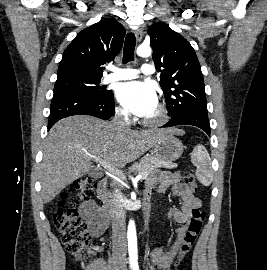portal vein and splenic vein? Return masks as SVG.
Wrapping results in <instances>:
<instances>
[{
    "label": "portal vein and splenic vein",
    "mask_w": 267,
    "mask_h": 270,
    "mask_svg": "<svg viewBox=\"0 0 267 270\" xmlns=\"http://www.w3.org/2000/svg\"><path fill=\"white\" fill-rule=\"evenodd\" d=\"M96 163L100 164L104 169L108 170L113 175L120 177L121 179H125L124 174L118 170L117 168L113 167L107 160H100L97 157L92 158ZM146 174H139L136 176L137 180L146 178Z\"/></svg>",
    "instance_id": "18ae733b"
}]
</instances>
